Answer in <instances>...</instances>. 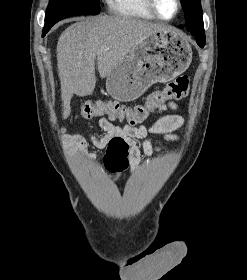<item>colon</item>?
Listing matches in <instances>:
<instances>
[{
  "label": "colon",
  "mask_w": 247,
  "mask_h": 280,
  "mask_svg": "<svg viewBox=\"0 0 247 280\" xmlns=\"http://www.w3.org/2000/svg\"><path fill=\"white\" fill-rule=\"evenodd\" d=\"M188 93L189 78L181 75L163 89L151 92L144 103L126 106L115 101H87L80 108V116L84 119L107 116L111 120L125 121L128 125L135 126L147 120L151 113L166 102L184 98ZM128 150V145L123 140H112L104 156L105 168L114 174L125 171L129 166Z\"/></svg>",
  "instance_id": "obj_1"
}]
</instances>
